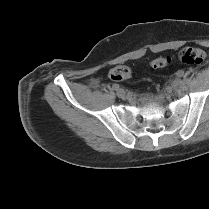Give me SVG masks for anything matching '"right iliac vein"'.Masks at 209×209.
Returning a JSON list of instances; mask_svg holds the SVG:
<instances>
[{"label":"right iliac vein","instance_id":"1","mask_svg":"<svg viewBox=\"0 0 209 209\" xmlns=\"http://www.w3.org/2000/svg\"><path fill=\"white\" fill-rule=\"evenodd\" d=\"M116 95L119 97V98H125L126 96V93L123 89H118L117 92H116Z\"/></svg>","mask_w":209,"mask_h":209}]
</instances>
